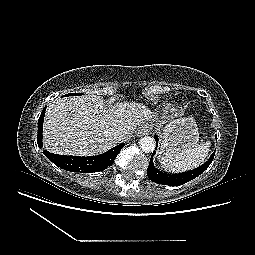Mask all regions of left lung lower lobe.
I'll use <instances>...</instances> for the list:
<instances>
[{
    "mask_svg": "<svg viewBox=\"0 0 255 255\" xmlns=\"http://www.w3.org/2000/svg\"><path fill=\"white\" fill-rule=\"evenodd\" d=\"M155 140L158 145V137H155ZM154 154H155V151L153 152L151 156L149 167L147 170L148 178L151 181L158 184L169 185V186H179V185L187 183L188 181H191L192 179L196 178L201 173H203L213 161L215 152L210 156L209 160L203 165H201L199 168H196L192 171L180 173V174H167L158 170L153 164Z\"/></svg>",
    "mask_w": 255,
    "mask_h": 255,
    "instance_id": "1",
    "label": "left lung lower lobe"
}]
</instances>
